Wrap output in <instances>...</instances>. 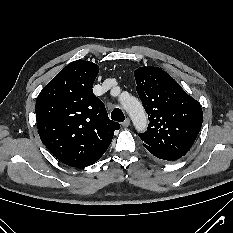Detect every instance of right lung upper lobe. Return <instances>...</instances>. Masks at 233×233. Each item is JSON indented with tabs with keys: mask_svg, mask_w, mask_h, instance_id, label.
Returning <instances> with one entry per match:
<instances>
[{
	"mask_svg": "<svg viewBox=\"0 0 233 233\" xmlns=\"http://www.w3.org/2000/svg\"><path fill=\"white\" fill-rule=\"evenodd\" d=\"M98 65L77 60L62 69L36 100L39 136L48 150L72 167L94 164L109 147L119 123L93 94Z\"/></svg>",
	"mask_w": 233,
	"mask_h": 233,
	"instance_id": "cb5924a9",
	"label": "right lung upper lobe"
}]
</instances>
